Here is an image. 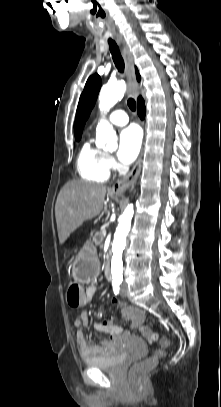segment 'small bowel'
<instances>
[{
  "label": "small bowel",
  "instance_id": "obj_1",
  "mask_svg": "<svg viewBox=\"0 0 221 407\" xmlns=\"http://www.w3.org/2000/svg\"><path fill=\"white\" fill-rule=\"evenodd\" d=\"M96 292V285L89 284L84 290V299L82 305L88 304L92 300ZM112 302L118 307H120L121 305H125L118 298H113ZM88 322L89 317L87 312H82L80 316L74 321V325L77 328L76 343L78 351L81 358L84 360L98 358L110 353L114 349L116 342L123 335V329L120 326H117L110 321L97 322L95 324L96 329L104 334H107L108 338L104 339L99 345L92 346L86 341L83 332V328L87 326Z\"/></svg>",
  "mask_w": 221,
  "mask_h": 407
}]
</instances>
